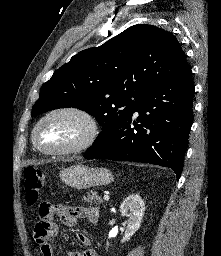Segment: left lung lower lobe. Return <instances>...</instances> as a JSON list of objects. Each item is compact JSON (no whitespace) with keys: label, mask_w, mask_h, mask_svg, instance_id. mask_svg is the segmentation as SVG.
Here are the masks:
<instances>
[{"label":"left lung lower lobe","mask_w":221,"mask_h":256,"mask_svg":"<svg viewBox=\"0 0 221 256\" xmlns=\"http://www.w3.org/2000/svg\"><path fill=\"white\" fill-rule=\"evenodd\" d=\"M194 93L191 69L186 63L144 96L133 112H139L136 121L140 124L133 122L135 127L131 128L132 114L96 139L83 157L170 167L179 179L191 128Z\"/></svg>","instance_id":"left-lung-lower-lobe-1"}]
</instances>
